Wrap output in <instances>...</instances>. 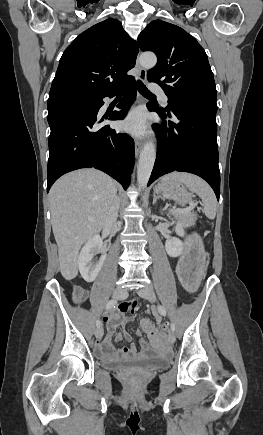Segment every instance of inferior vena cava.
I'll return each mask as SVG.
<instances>
[{
    "mask_svg": "<svg viewBox=\"0 0 263 435\" xmlns=\"http://www.w3.org/2000/svg\"><path fill=\"white\" fill-rule=\"evenodd\" d=\"M119 205H120V199L118 197H116L115 201L113 202V204L111 205V207L107 213V217L105 220V224H108V225L112 226L113 228H115V226H116Z\"/></svg>",
    "mask_w": 263,
    "mask_h": 435,
    "instance_id": "602c4592",
    "label": "inferior vena cava"
}]
</instances>
